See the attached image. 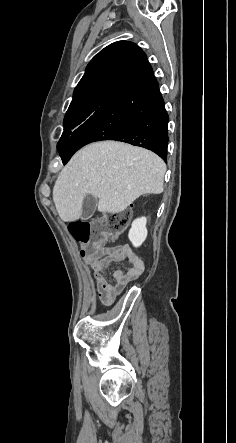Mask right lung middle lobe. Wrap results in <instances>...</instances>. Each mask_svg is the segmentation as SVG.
I'll list each match as a JSON object with an SVG mask.
<instances>
[{"label": "right lung middle lobe", "mask_w": 236, "mask_h": 443, "mask_svg": "<svg viewBox=\"0 0 236 443\" xmlns=\"http://www.w3.org/2000/svg\"><path fill=\"white\" fill-rule=\"evenodd\" d=\"M109 96L97 95L69 107L64 118V132L57 145L59 152L67 149L69 141L75 135L77 129L90 118Z\"/></svg>", "instance_id": "right-lung-middle-lobe-1"}]
</instances>
